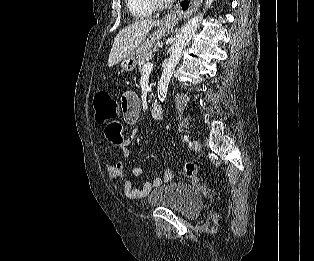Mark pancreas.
Wrapping results in <instances>:
<instances>
[{"label":"pancreas","mask_w":314,"mask_h":261,"mask_svg":"<svg viewBox=\"0 0 314 261\" xmlns=\"http://www.w3.org/2000/svg\"><path fill=\"white\" fill-rule=\"evenodd\" d=\"M152 48H153V46L151 48H149V49H146L145 45L142 47V50L144 51V53H143L142 57L139 59V61H138V70H139L140 73L143 72L144 65L153 58L155 49L152 50Z\"/></svg>","instance_id":"obj_1"}]
</instances>
